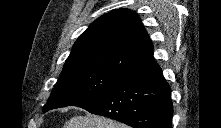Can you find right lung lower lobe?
<instances>
[{
    "label": "right lung lower lobe",
    "mask_w": 221,
    "mask_h": 128,
    "mask_svg": "<svg viewBox=\"0 0 221 128\" xmlns=\"http://www.w3.org/2000/svg\"><path fill=\"white\" fill-rule=\"evenodd\" d=\"M75 106L133 128H172L171 89L154 60Z\"/></svg>",
    "instance_id": "1"
}]
</instances>
